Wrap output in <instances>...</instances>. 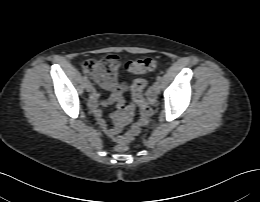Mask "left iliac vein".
Returning a JSON list of instances; mask_svg holds the SVG:
<instances>
[{"label":"left iliac vein","instance_id":"left-iliac-vein-1","mask_svg":"<svg viewBox=\"0 0 260 202\" xmlns=\"http://www.w3.org/2000/svg\"><path fill=\"white\" fill-rule=\"evenodd\" d=\"M160 92V82L156 81L151 87L152 94H158Z\"/></svg>","mask_w":260,"mask_h":202}]
</instances>
